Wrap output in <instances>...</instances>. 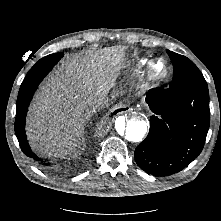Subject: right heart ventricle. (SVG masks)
I'll return each instance as SVG.
<instances>
[{
    "mask_svg": "<svg viewBox=\"0 0 221 221\" xmlns=\"http://www.w3.org/2000/svg\"><path fill=\"white\" fill-rule=\"evenodd\" d=\"M148 63V59H143L142 61H141V64L142 65H145V64H147Z\"/></svg>",
    "mask_w": 221,
    "mask_h": 221,
    "instance_id": "e07e8e85",
    "label": "right heart ventricle"
}]
</instances>
